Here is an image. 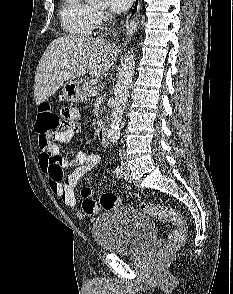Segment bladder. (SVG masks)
<instances>
[{
	"instance_id": "31cf9c89",
	"label": "bladder",
	"mask_w": 233,
	"mask_h": 294,
	"mask_svg": "<svg viewBox=\"0 0 233 294\" xmlns=\"http://www.w3.org/2000/svg\"><path fill=\"white\" fill-rule=\"evenodd\" d=\"M91 233L101 249L120 255H135L154 241L157 228L138 209L115 207L94 221Z\"/></svg>"
}]
</instances>
